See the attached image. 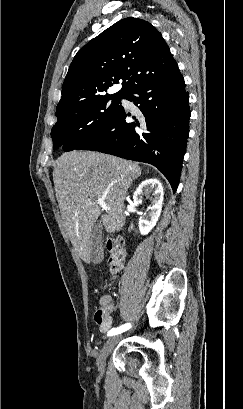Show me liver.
<instances>
[{
  "mask_svg": "<svg viewBox=\"0 0 243 409\" xmlns=\"http://www.w3.org/2000/svg\"><path fill=\"white\" fill-rule=\"evenodd\" d=\"M140 173L137 163L96 152L72 151L57 159L53 181L61 217L73 247L84 261L91 259L90 237L99 216L108 233L123 228L126 193ZM99 198L108 207L102 215Z\"/></svg>",
  "mask_w": 243,
  "mask_h": 409,
  "instance_id": "6515ba94",
  "label": "liver"
}]
</instances>
